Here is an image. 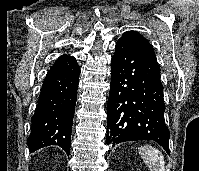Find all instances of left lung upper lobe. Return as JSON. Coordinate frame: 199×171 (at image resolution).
<instances>
[{"label":"left lung upper lobe","mask_w":199,"mask_h":171,"mask_svg":"<svg viewBox=\"0 0 199 171\" xmlns=\"http://www.w3.org/2000/svg\"><path fill=\"white\" fill-rule=\"evenodd\" d=\"M119 40L131 45L144 56L158 64L152 45L141 34H139V32L126 31Z\"/></svg>","instance_id":"obj_1"}]
</instances>
